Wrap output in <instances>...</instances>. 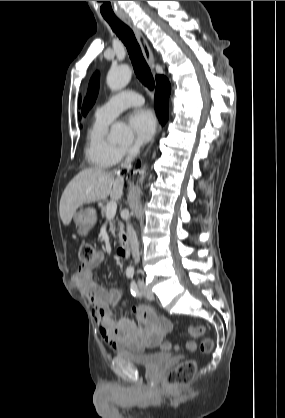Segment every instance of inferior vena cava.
Returning a JSON list of instances; mask_svg holds the SVG:
<instances>
[{"mask_svg": "<svg viewBox=\"0 0 285 418\" xmlns=\"http://www.w3.org/2000/svg\"><path fill=\"white\" fill-rule=\"evenodd\" d=\"M137 153H138V149L136 147L131 148L128 156L125 159V162L122 163V166L127 169H130L132 167L131 165L132 160L137 155ZM126 233H127V239L131 246V252H132V257L134 259V263L137 264L140 260L139 243H138L136 232L131 226V224L129 223V221H127Z\"/></svg>", "mask_w": 285, "mask_h": 418, "instance_id": "602c4592", "label": "inferior vena cava"}]
</instances>
